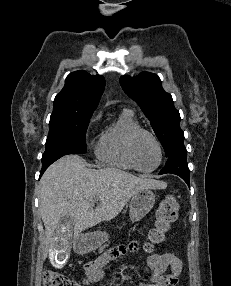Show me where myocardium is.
I'll return each instance as SVG.
<instances>
[{"instance_id":"1","label":"myocardium","mask_w":231,"mask_h":286,"mask_svg":"<svg viewBox=\"0 0 231 286\" xmlns=\"http://www.w3.org/2000/svg\"><path fill=\"white\" fill-rule=\"evenodd\" d=\"M140 135H148L156 144L158 152H159V160L158 163L156 164L155 167H153L152 169L149 170H145L142 169L136 161L135 155H134V144L136 142V139L140 136ZM126 153L128 156L129 161L131 162L132 166L134 167L135 170L141 172V173H152L154 171H156L162 164L163 162V157H164V152H163V147L162 144L160 142V140L158 139V137L150 130L145 129V128H137L135 130H133L128 138H127V142H126Z\"/></svg>"}]
</instances>
